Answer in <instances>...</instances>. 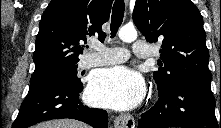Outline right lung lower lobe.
Here are the masks:
<instances>
[{"label":"right lung lower lobe","mask_w":221,"mask_h":128,"mask_svg":"<svg viewBox=\"0 0 221 128\" xmlns=\"http://www.w3.org/2000/svg\"><path fill=\"white\" fill-rule=\"evenodd\" d=\"M82 89L83 86L60 80L30 87L13 128H27L58 118L77 119L94 128H107L108 114L105 110L89 108L79 101Z\"/></svg>","instance_id":"1"}]
</instances>
